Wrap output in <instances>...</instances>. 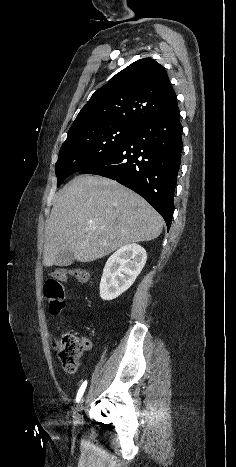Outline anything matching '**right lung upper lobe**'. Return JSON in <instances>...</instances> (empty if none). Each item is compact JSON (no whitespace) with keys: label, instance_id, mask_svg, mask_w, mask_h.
<instances>
[{"label":"right lung upper lobe","instance_id":"1","mask_svg":"<svg viewBox=\"0 0 236 467\" xmlns=\"http://www.w3.org/2000/svg\"><path fill=\"white\" fill-rule=\"evenodd\" d=\"M176 104L177 96L164 67L151 58L140 59L91 96L68 135L114 125L136 129Z\"/></svg>","mask_w":236,"mask_h":467}]
</instances>
